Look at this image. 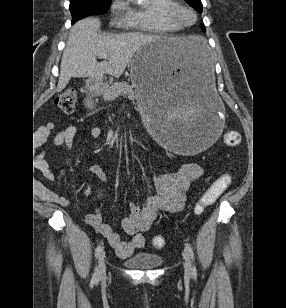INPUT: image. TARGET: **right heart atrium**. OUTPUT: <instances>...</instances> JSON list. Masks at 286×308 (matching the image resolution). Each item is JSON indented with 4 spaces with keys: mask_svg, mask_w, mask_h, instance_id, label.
Masks as SVG:
<instances>
[{
    "mask_svg": "<svg viewBox=\"0 0 286 308\" xmlns=\"http://www.w3.org/2000/svg\"><path fill=\"white\" fill-rule=\"evenodd\" d=\"M128 4L125 0H111L110 14L114 21L126 20Z\"/></svg>",
    "mask_w": 286,
    "mask_h": 308,
    "instance_id": "obj_1",
    "label": "right heart atrium"
}]
</instances>
